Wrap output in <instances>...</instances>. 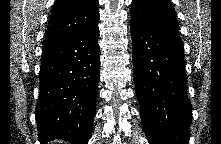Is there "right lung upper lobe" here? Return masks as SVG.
Listing matches in <instances>:
<instances>
[{
	"instance_id": "1",
	"label": "right lung upper lobe",
	"mask_w": 221,
	"mask_h": 144,
	"mask_svg": "<svg viewBox=\"0 0 221 144\" xmlns=\"http://www.w3.org/2000/svg\"><path fill=\"white\" fill-rule=\"evenodd\" d=\"M98 0H57L42 50L71 40L98 25Z\"/></svg>"
}]
</instances>
